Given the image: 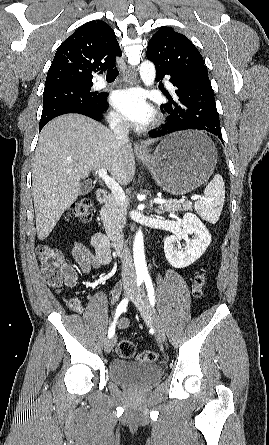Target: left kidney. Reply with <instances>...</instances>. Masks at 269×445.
Segmentation results:
<instances>
[{"label": "left kidney", "mask_w": 269, "mask_h": 445, "mask_svg": "<svg viewBox=\"0 0 269 445\" xmlns=\"http://www.w3.org/2000/svg\"><path fill=\"white\" fill-rule=\"evenodd\" d=\"M182 231L177 235L168 236L164 241V252L167 261L175 268H184L206 251L211 242V235L201 220L193 213H186L181 222ZM194 234V239L181 249L180 240Z\"/></svg>", "instance_id": "5707ae66"}]
</instances>
